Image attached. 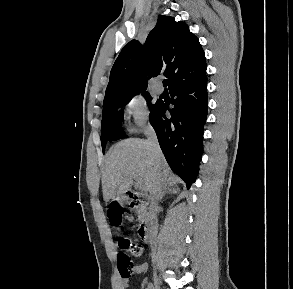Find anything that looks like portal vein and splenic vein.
<instances>
[{
	"label": "portal vein and splenic vein",
	"instance_id": "portal-vein-and-splenic-vein-1",
	"mask_svg": "<svg viewBox=\"0 0 293 289\" xmlns=\"http://www.w3.org/2000/svg\"><path fill=\"white\" fill-rule=\"evenodd\" d=\"M135 180H136V185H137L139 188H142L141 182H140L138 179H135Z\"/></svg>",
	"mask_w": 293,
	"mask_h": 289
}]
</instances>
